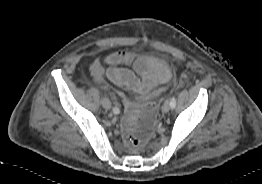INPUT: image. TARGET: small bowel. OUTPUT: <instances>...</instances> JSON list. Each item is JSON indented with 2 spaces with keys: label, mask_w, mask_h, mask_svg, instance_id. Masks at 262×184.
I'll return each instance as SVG.
<instances>
[{
  "label": "small bowel",
  "mask_w": 262,
  "mask_h": 184,
  "mask_svg": "<svg viewBox=\"0 0 262 184\" xmlns=\"http://www.w3.org/2000/svg\"><path fill=\"white\" fill-rule=\"evenodd\" d=\"M104 62L108 65L105 71L96 62L88 66L91 79L97 85H101L106 76L114 85L148 93L171 78L168 67L153 57H135L126 51H116L106 55Z\"/></svg>",
  "instance_id": "c3829d8e"
}]
</instances>
